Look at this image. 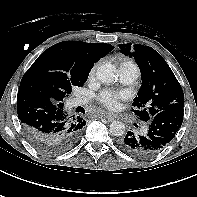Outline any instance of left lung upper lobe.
Returning <instances> with one entry per match:
<instances>
[{
  "mask_svg": "<svg viewBox=\"0 0 197 197\" xmlns=\"http://www.w3.org/2000/svg\"><path fill=\"white\" fill-rule=\"evenodd\" d=\"M121 53L133 56L141 71L142 85L134 98L132 110L141 120L151 119L161 111L184 108V94L174 73L149 46L120 44Z\"/></svg>",
  "mask_w": 197,
  "mask_h": 197,
  "instance_id": "left-lung-upper-lobe-1",
  "label": "left lung upper lobe"
}]
</instances>
